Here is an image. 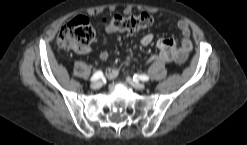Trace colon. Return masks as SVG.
<instances>
[{
  "label": "colon",
  "mask_w": 247,
  "mask_h": 145,
  "mask_svg": "<svg viewBox=\"0 0 247 145\" xmlns=\"http://www.w3.org/2000/svg\"><path fill=\"white\" fill-rule=\"evenodd\" d=\"M153 18L147 13L120 15L115 14L106 20V27L112 31H138L149 28ZM95 39V31L89 20L82 15L76 16L59 31L57 44L62 49L82 50L90 46Z\"/></svg>",
  "instance_id": "obj_1"
}]
</instances>
